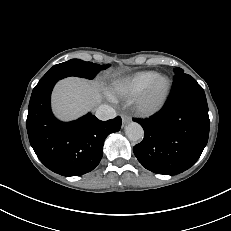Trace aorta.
<instances>
[{"label": "aorta", "mask_w": 231, "mask_h": 231, "mask_svg": "<svg viewBox=\"0 0 231 231\" xmlns=\"http://www.w3.org/2000/svg\"><path fill=\"white\" fill-rule=\"evenodd\" d=\"M125 133L128 139L132 142L141 141L144 137V130L142 126L136 122H131L125 128Z\"/></svg>", "instance_id": "obj_1"}]
</instances>
